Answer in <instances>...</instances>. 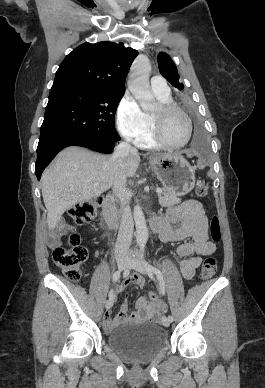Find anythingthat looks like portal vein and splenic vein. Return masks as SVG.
<instances>
[{
	"instance_id": "obj_1",
	"label": "portal vein and splenic vein",
	"mask_w": 265,
	"mask_h": 388,
	"mask_svg": "<svg viewBox=\"0 0 265 388\" xmlns=\"http://www.w3.org/2000/svg\"><path fill=\"white\" fill-rule=\"evenodd\" d=\"M94 186H99V184H94ZM156 192L157 194H162V190H160V188H157Z\"/></svg>"
}]
</instances>
